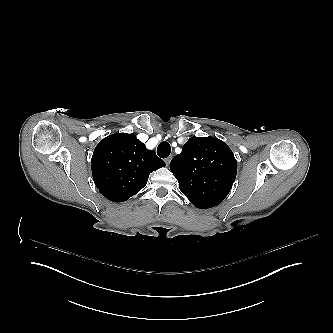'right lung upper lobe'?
<instances>
[{"mask_svg":"<svg viewBox=\"0 0 333 333\" xmlns=\"http://www.w3.org/2000/svg\"><path fill=\"white\" fill-rule=\"evenodd\" d=\"M165 166L134 134L116 133L96 146L91 169L99 191L109 200L123 202L139 192L149 174Z\"/></svg>","mask_w":333,"mask_h":333,"instance_id":"1","label":"right lung upper lobe"}]
</instances>
